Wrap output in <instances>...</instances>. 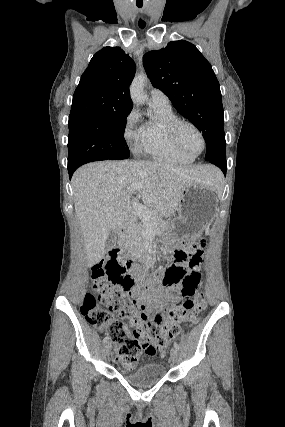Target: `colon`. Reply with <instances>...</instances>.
I'll use <instances>...</instances> for the list:
<instances>
[{
    "label": "colon",
    "mask_w": 285,
    "mask_h": 427,
    "mask_svg": "<svg viewBox=\"0 0 285 427\" xmlns=\"http://www.w3.org/2000/svg\"><path fill=\"white\" fill-rule=\"evenodd\" d=\"M205 246L204 239L185 241V249L174 251L173 264L162 273L163 287L181 286L186 293L177 306L163 315V324L147 325L140 313L142 308H149L145 302L147 286L139 285L130 274L129 261L112 252L91 268V291L85 292L80 311L91 326L105 331L115 346L119 363L133 367L146 352L164 359L168 343L180 332L178 322H197L198 314L207 305L204 295L197 292L201 275L185 271L182 263L192 259L198 250L202 254Z\"/></svg>",
    "instance_id": "5ec220e1"
}]
</instances>
